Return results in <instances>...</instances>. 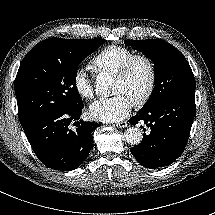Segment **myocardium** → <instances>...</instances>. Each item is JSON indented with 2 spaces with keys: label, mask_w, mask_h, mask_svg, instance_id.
Here are the masks:
<instances>
[{
  "label": "myocardium",
  "mask_w": 215,
  "mask_h": 215,
  "mask_svg": "<svg viewBox=\"0 0 215 215\" xmlns=\"http://www.w3.org/2000/svg\"><path fill=\"white\" fill-rule=\"evenodd\" d=\"M137 61H143L148 68V83L146 90L142 97L134 102L136 107H143L152 97L156 87L157 73L153 60L144 53H134L119 66L117 71L114 73V76L120 79L127 77L132 69V66Z\"/></svg>",
  "instance_id": "myocardium-1"
}]
</instances>
